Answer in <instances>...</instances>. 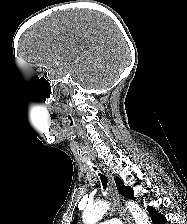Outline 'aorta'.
I'll return each instance as SVG.
<instances>
[{
	"mask_svg": "<svg viewBox=\"0 0 187 224\" xmlns=\"http://www.w3.org/2000/svg\"><path fill=\"white\" fill-rule=\"evenodd\" d=\"M126 206L131 212L135 224H149L146 212L137 203L129 201L126 202ZM109 207L108 202H99L88 206L82 214L84 224H96L105 215Z\"/></svg>",
	"mask_w": 187,
	"mask_h": 224,
	"instance_id": "1",
	"label": "aorta"
}]
</instances>
